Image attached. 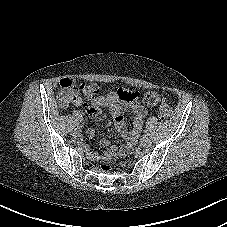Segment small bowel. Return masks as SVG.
Instances as JSON below:
<instances>
[{
	"label": "small bowel",
	"mask_w": 227,
	"mask_h": 227,
	"mask_svg": "<svg viewBox=\"0 0 227 227\" xmlns=\"http://www.w3.org/2000/svg\"><path fill=\"white\" fill-rule=\"evenodd\" d=\"M140 100V93L137 90L118 89L111 91L105 96L94 97L91 101L82 103L81 99H77L74 104L82 105L85 112L92 118L98 117L102 109H110L114 124L118 132L127 140L128 144L133 143L143 129V120L147 115V111L143 105L137 103ZM130 112L134 117L133 127L131 131L127 130L124 120V113ZM89 135L95 133L94 129H89ZM103 146H108L107 140L102 141ZM116 154V149L110 148L106 152L108 158Z\"/></svg>",
	"instance_id": "1"
}]
</instances>
